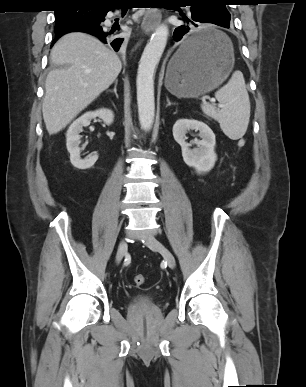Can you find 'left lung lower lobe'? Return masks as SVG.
Returning a JSON list of instances; mask_svg holds the SVG:
<instances>
[{
    "mask_svg": "<svg viewBox=\"0 0 306 387\" xmlns=\"http://www.w3.org/2000/svg\"><path fill=\"white\" fill-rule=\"evenodd\" d=\"M197 11H191L192 15L182 18L183 25L177 27L174 30L173 38L175 41L182 39L183 43L181 46L182 56L186 59H191L198 56L205 51H208L214 41L215 36L209 32H203L194 36L189 37L193 26L198 27L199 23H211L221 27L229 28V23L215 21L207 12L205 6H201ZM178 9V7H176Z\"/></svg>",
    "mask_w": 306,
    "mask_h": 387,
    "instance_id": "obj_1",
    "label": "left lung lower lobe"
}]
</instances>
